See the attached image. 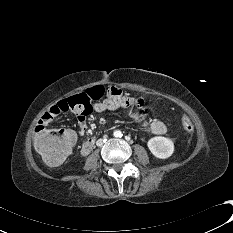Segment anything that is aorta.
<instances>
[{"mask_svg":"<svg viewBox=\"0 0 233 233\" xmlns=\"http://www.w3.org/2000/svg\"><path fill=\"white\" fill-rule=\"evenodd\" d=\"M116 133V132H115ZM116 137H118V134H115Z\"/></svg>","mask_w":233,"mask_h":233,"instance_id":"obj_1","label":"aorta"}]
</instances>
